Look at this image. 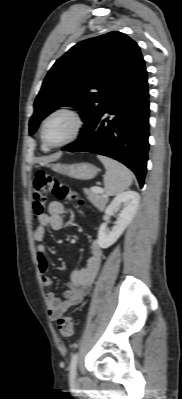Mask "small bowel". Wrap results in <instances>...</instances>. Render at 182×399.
<instances>
[{"label":"small bowel","instance_id":"1","mask_svg":"<svg viewBox=\"0 0 182 399\" xmlns=\"http://www.w3.org/2000/svg\"><path fill=\"white\" fill-rule=\"evenodd\" d=\"M64 224V205L58 200H53L48 206L47 213L39 217V225L33 233L34 239L39 242L37 245V262L41 272V281L47 287L53 285V280L47 273L50 261L48 259V248L43 240L46 237L47 227L60 230L64 227ZM101 259V246L97 240H93L90 244V256L86 265L72 272L71 283L66 285L64 299L53 292L47 293L46 303L50 320L56 321L83 300L97 275Z\"/></svg>","mask_w":182,"mask_h":399}]
</instances>
